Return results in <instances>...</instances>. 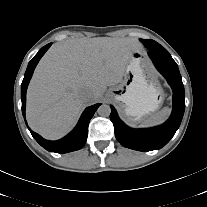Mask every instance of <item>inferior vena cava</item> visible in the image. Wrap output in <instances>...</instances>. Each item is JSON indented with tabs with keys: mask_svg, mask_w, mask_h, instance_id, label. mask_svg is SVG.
I'll return each instance as SVG.
<instances>
[{
	"mask_svg": "<svg viewBox=\"0 0 207 207\" xmlns=\"http://www.w3.org/2000/svg\"><path fill=\"white\" fill-rule=\"evenodd\" d=\"M83 99H88L90 97V92L88 90H84L81 94Z\"/></svg>",
	"mask_w": 207,
	"mask_h": 207,
	"instance_id": "inferior-vena-cava-1",
	"label": "inferior vena cava"
}]
</instances>
